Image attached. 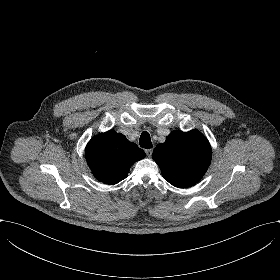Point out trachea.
I'll list each match as a JSON object with an SVG mask.
<instances>
[{
  "mask_svg": "<svg viewBox=\"0 0 280 280\" xmlns=\"http://www.w3.org/2000/svg\"><path fill=\"white\" fill-rule=\"evenodd\" d=\"M139 144L142 148H146V149L152 148V142L148 132L146 131L142 132L140 136Z\"/></svg>",
  "mask_w": 280,
  "mask_h": 280,
  "instance_id": "obj_1",
  "label": "trachea"
}]
</instances>
